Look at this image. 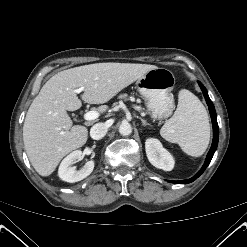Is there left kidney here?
Listing matches in <instances>:
<instances>
[{
    "label": "left kidney",
    "instance_id": "obj_1",
    "mask_svg": "<svg viewBox=\"0 0 247 247\" xmlns=\"http://www.w3.org/2000/svg\"><path fill=\"white\" fill-rule=\"evenodd\" d=\"M146 155L149 162L156 168L171 171L174 168V158L162 143L155 138H149L145 142Z\"/></svg>",
    "mask_w": 247,
    "mask_h": 247
}]
</instances>
